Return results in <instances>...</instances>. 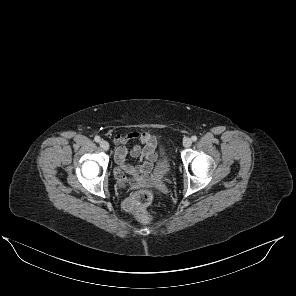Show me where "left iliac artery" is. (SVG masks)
<instances>
[{
  "instance_id": "obj_1",
  "label": "left iliac artery",
  "mask_w": 296,
  "mask_h": 296,
  "mask_svg": "<svg viewBox=\"0 0 296 296\" xmlns=\"http://www.w3.org/2000/svg\"><path fill=\"white\" fill-rule=\"evenodd\" d=\"M191 139H192V141H196L197 140V136L194 135V136L191 137Z\"/></svg>"
}]
</instances>
